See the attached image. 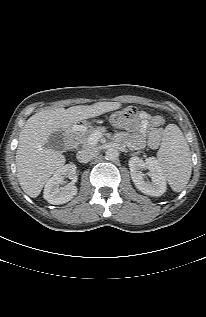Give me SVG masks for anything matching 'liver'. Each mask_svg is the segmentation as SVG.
<instances>
[{
  "label": "liver",
  "mask_w": 206,
  "mask_h": 317,
  "mask_svg": "<svg viewBox=\"0 0 206 317\" xmlns=\"http://www.w3.org/2000/svg\"><path fill=\"white\" fill-rule=\"evenodd\" d=\"M120 107L119 102H98L68 109H48L32 115L20 132L15 158L22 190L31 198H36L49 177L65 164L66 159L60 151L45 146L51 134L59 130L69 132L85 119Z\"/></svg>",
  "instance_id": "liver-1"
}]
</instances>
